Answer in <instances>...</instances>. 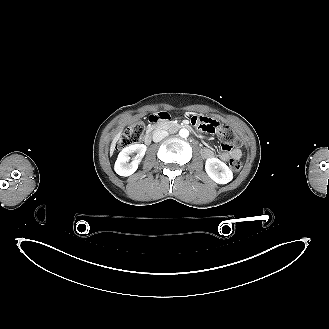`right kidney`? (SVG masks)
<instances>
[{"label": "right kidney", "instance_id": "ca27d5eb", "mask_svg": "<svg viewBox=\"0 0 329 329\" xmlns=\"http://www.w3.org/2000/svg\"><path fill=\"white\" fill-rule=\"evenodd\" d=\"M147 150L146 145L144 144H133L125 147L118 155V158L115 162V172L120 176H130L138 168L141 159L145 155ZM137 153L135 159L129 163L130 155Z\"/></svg>", "mask_w": 329, "mask_h": 329}]
</instances>
